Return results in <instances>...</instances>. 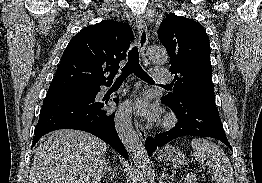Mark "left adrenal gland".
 I'll return each mask as SVG.
<instances>
[{"mask_svg":"<svg viewBox=\"0 0 262 183\" xmlns=\"http://www.w3.org/2000/svg\"><path fill=\"white\" fill-rule=\"evenodd\" d=\"M164 178L173 179V176H170L168 173H166L165 167H163V171H162V175H161V179H164Z\"/></svg>","mask_w":262,"mask_h":183,"instance_id":"1","label":"left adrenal gland"}]
</instances>
